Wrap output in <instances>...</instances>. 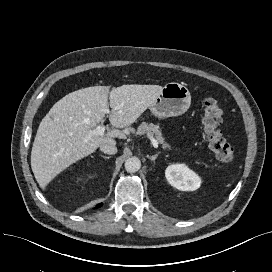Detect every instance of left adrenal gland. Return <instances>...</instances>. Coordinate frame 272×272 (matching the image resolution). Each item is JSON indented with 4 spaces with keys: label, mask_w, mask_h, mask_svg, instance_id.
Wrapping results in <instances>:
<instances>
[{
    "label": "left adrenal gland",
    "mask_w": 272,
    "mask_h": 272,
    "mask_svg": "<svg viewBox=\"0 0 272 272\" xmlns=\"http://www.w3.org/2000/svg\"><path fill=\"white\" fill-rule=\"evenodd\" d=\"M159 154H160V152L156 153L153 156H148V159H150L151 161H154L158 157Z\"/></svg>",
    "instance_id": "left-adrenal-gland-1"
}]
</instances>
